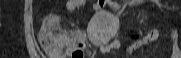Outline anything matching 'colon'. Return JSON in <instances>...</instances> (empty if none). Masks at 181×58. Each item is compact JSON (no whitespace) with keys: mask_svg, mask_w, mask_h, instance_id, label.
Listing matches in <instances>:
<instances>
[{"mask_svg":"<svg viewBox=\"0 0 181 58\" xmlns=\"http://www.w3.org/2000/svg\"><path fill=\"white\" fill-rule=\"evenodd\" d=\"M59 24L60 18L56 15L45 18L40 30V39L43 46L47 50L59 54L70 52L71 58H83L84 40L62 32Z\"/></svg>","mask_w":181,"mask_h":58,"instance_id":"5ec220e1","label":"colon"}]
</instances>
